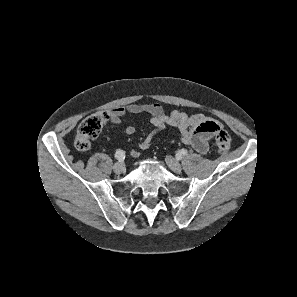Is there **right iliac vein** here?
<instances>
[{"label":"right iliac vein","instance_id":"obj_1","mask_svg":"<svg viewBox=\"0 0 297 297\" xmlns=\"http://www.w3.org/2000/svg\"><path fill=\"white\" fill-rule=\"evenodd\" d=\"M113 170L116 174H121L124 171V164L121 161L115 163Z\"/></svg>","mask_w":297,"mask_h":297}]
</instances>
